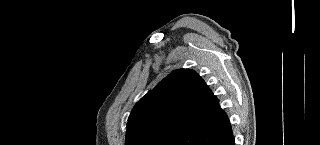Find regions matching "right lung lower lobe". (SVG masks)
Returning a JSON list of instances; mask_svg holds the SVG:
<instances>
[{
	"mask_svg": "<svg viewBox=\"0 0 320 145\" xmlns=\"http://www.w3.org/2000/svg\"><path fill=\"white\" fill-rule=\"evenodd\" d=\"M167 145H235V140L230 121L220 109L208 121L178 132Z\"/></svg>",
	"mask_w": 320,
	"mask_h": 145,
	"instance_id": "98d812e1",
	"label": "right lung lower lobe"
}]
</instances>
